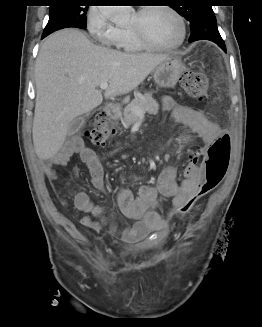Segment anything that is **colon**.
I'll return each mask as SVG.
<instances>
[{"label":"colon","mask_w":262,"mask_h":327,"mask_svg":"<svg viewBox=\"0 0 262 327\" xmlns=\"http://www.w3.org/2000/svg\"><path fill=\"white\" fill-rule=\"evenodd\" d=\"M181 86L191 98L203 101L207 98L208 79L196 71H189L181 77ZM114 129L105 111L96 114L92 129L87 132L88 139L95 145L106 144ZM231 144L227 133H221L202 155L204 179L199 188L189 195L179 207L178 212L187 213L204 196L214 190L223 180L230 162Z\"/></svg>","instance_id":"1"}]
</instances>
